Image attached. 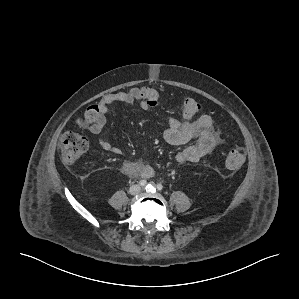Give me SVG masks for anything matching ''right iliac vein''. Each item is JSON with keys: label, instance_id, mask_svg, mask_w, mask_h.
I'll use <instances>...</instances> for the list:
<instances>
[{"label": "right iliac vein", "instance_id": "1", "mask_svg": "<svg viewBox=\"0 0 299 299\" xmlns=\"http://www.w3.org/2000/svg\"><path fill=\"white\" fill-rule=\"evenodd\" d=\"M140 190H141V188H140L139 185H133V186L130 187V189H129V193H130L131 195H137V194L140 193Z\"/></svg>", "mask_w": 299, "mask_h": 299}]
</instances>
